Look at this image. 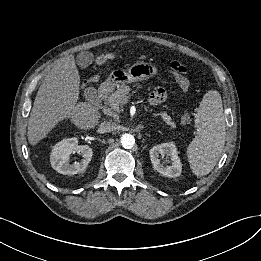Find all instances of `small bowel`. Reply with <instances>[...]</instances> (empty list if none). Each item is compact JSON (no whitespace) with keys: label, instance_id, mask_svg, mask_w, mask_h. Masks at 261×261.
Masks as SVG:
<instances>
[{"label":"small bowel","instance_id":"c3829d8e","mask_svg":"<svg viewBox=\"0 0 261 261\" xmlns=\"http://www.w3.org/2000/svg\"><path fill=\"white\" fill-rule=\"evenodd\" d=\"M180 87H183V84L187 85L189 84V81L187 79L185 80H177ZM166 99V92L162 88H156L153 93L150 96V103L153 105H157L162 103ZM189 120V116L187 114H184L182 117V121L184 123H187Z\"/></svg>","mask_w":261,"mask_h":261}]
</instances>
